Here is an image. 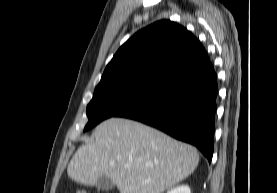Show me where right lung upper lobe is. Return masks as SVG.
<instances>
[{
    "mask_svg": "<svg viewBox=\"0 0 277 193\" xmlns=\"http://www.w3.org/2000/svg\"><path fill=\"white\" fill-rule=\"evenodd\" d=\"M208 62L204 47L191 32L175 22L161 20L120 47L95 90L122 86L156 90Z\"/></svg>",
    "mask_w": 277,
    "mask_h": 193,
    "instance_id": "1",
    "label": "right lung upper lobe"
}]
</instances>
